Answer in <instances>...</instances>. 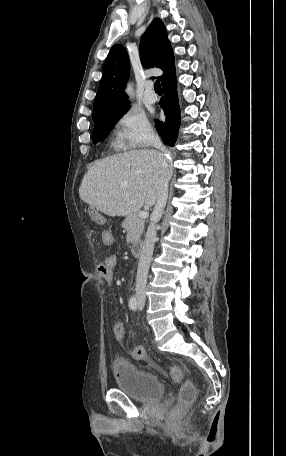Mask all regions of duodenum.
I'll return each mask as SVG.
<instances>
[{"mask_svg":"<svg viewBox=\"0 0 286 456\" xmlns=\"http://www.w3.org/2000/svg\"><path fill=\"white\" fill-rule=\"evenodd\" d=\"M131 252L134 256H139L142 252V243L136 242L131 246Z\"/></svg>","mask_w":286,"mask_h":456,"instance_id":"obj_1","label":"duodenum"}]
</instances>
